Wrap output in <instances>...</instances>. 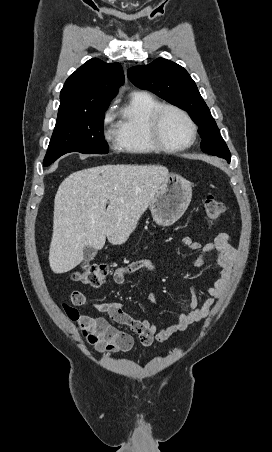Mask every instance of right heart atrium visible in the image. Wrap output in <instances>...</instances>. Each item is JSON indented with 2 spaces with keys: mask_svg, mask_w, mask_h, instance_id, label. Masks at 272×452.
I'll list each match as a JSON object with an SVG mask.
<instances>
[{
  "mask_svg": "<svg viewBox=\"0 0 272 452\" xmlns=\"http://www.w3.org/2000/svg\"><path fill=\"white\" fill-rule=\"evenodd\" d=\"M114 119V112L112 107H109L103 114L102 117V125H103V137L105 140L110 144L112 148H118L119 147V136L118 133L113 131L110 128V125Z\"/></svg>",
  "mask_w": 272,
  "mask_h": 452,
  "instance_id": "1",
  "label": "right heart atrium"
}]
</instances>
